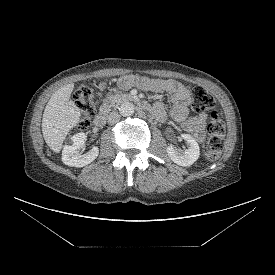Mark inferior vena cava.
Listing matches in <instances>:
<instances>
[{
  "mask_svg": "<svg viewBox=\"0 0 275 275\" xmlns=\"http://www.w3.org/2000/svg\"><path fill=\"white\" fill-rule=\"evenodd\" d=\"M120 121V115L118 112L113 111L108 115V124L113 125Z\"/></svg>",
  "mask_w": 275,
  "mask_h": 275,
  "instance_id": "inferior-vena-cava-1",
  "label": "inferior vena cava"
}]
</instances>
